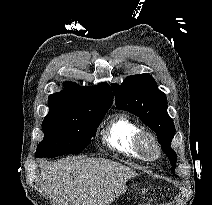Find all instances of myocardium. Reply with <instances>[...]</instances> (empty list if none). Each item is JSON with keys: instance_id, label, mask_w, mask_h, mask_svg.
<instances>
[{"instance_id": "f54148a6", "label": "myocardium", "mask_w": 212, "mask_h": 205, "mask_svg": "<svg viewBox=\"0 0 212 205\" xmlns=\"http://www.w3.org/2000/svg\"><path fill=\"white\" fill-rule=\"evenodd\" d=\"M135 146L138 153L146 159L154 160L160 155L159 145L149 132H139L135 139Z\"/></svg>"}]
</instances>
